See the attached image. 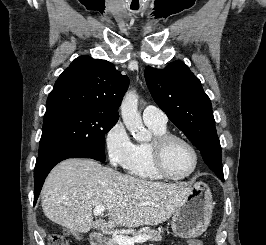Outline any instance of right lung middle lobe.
I'll list each match as a JSON object with an SVG mask.
<instances>
[{
    "label": "right lung middle lobe",
    "mask_w": 266,
    "mask_h": 245,
    "mask_svg": "<svg viewBox=\"0 0 266 245\" xmlns=\"http://www.w3.org/2000/svg\"><path fill=\"white\" fill-rule=\"evenodd\" d=\"M118 115L78 108L44 117L39 156L56 149H72L105 161V134L116 124Z\"/></svg>",
    "instance_id": "dd1d6c3e"
}]
</instances>
